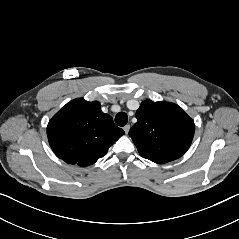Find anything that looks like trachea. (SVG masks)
Masks as SVG:
<instances>
[{
	"instance_id": "3493384b",
	"label": "trachea",
	"mask_w": 239,
	"mask_h": 239,
	"mask_svg": "<svg viewBox=\"0 0 239 239\" xmlns=\"http://www.w3.org/2000/svg\"><path fill=\"white\" fill-rule=\"evenodd\" d=\"M128 122V116L125 112H119L116 116H115V123L118 126H125Z\"/></svg>"
}]
</instances>
